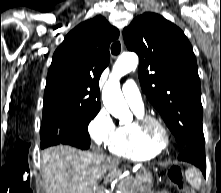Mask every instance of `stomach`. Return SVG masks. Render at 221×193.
Here are the masks:
<instances>
[{"label":"stomach","mask_w":221,"mask_h":193,"mask_svg":"<svg viewBox=\"0 0 221 193\" xmlns=\"http://www.w3.org/2000/svg\"><path fill=\"white\" fill-rule=\"evenodd\" d=\"M138 177H142L144 182H151V179H158V174H149V169H138Z\"/></svg>","instance_id":"1"}]
</instances>
